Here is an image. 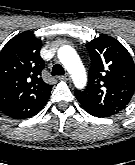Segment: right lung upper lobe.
<instances>
[{
    "instance_id": "cb5924a9",
    "label": "right lung upper lobe",
    "mask_w": 135,
    "mask_h": 165,
    "mask_svg": "<svg viewBox=\"0 0 135 165\" xmlns=\"http://www.w3.org/2000/svg\"><path fill=\"white\" fill-rule=\"evenodd\" d=\"M41 46L40 39L25 31L0 52V110L10 117L33 114L48 101L52 85L41 77Z\"/></svg>"
}]
</instances>
